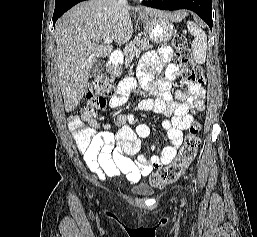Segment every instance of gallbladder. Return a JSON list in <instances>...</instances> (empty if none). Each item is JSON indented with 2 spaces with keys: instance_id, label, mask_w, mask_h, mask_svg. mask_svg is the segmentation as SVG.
<instances>
[{
  "instance_id": "bac80fb5",
  "label": "gallbladder",
  "mask_w": 257,
  "mask_h": 237,
  "mask_svg": "<svg viewBox=\"0 0 257 237\" xmlns=\"http://www.w3.org/2000/svg\"><path fill=\"white\" fill-rule=\"evenodd\" d=\"M103 68L104 61L101 59L96 60L89 71V77H96L98 74L102 72Z\"/></svg>"
}]
</instances>
